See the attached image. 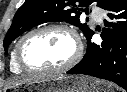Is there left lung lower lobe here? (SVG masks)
<instances>
[{"label":"left lung lower lobe","mask_w":127,"mask_h":92,"mask_svg":"<svg viewBox=\"0 0 127 92\" xmlns=\"http://www.w3.org/2000/svg\"><path fill=\"white\" fill-rule=\"evenodd\" d=\"M107 28L101 34L100 45L92 43V32L88 35L87 52L83 59L68 74H86L110 80L127 90V0H116L105 8Z\"/></svg>","instance_id":"0a47b994"}]
</instances>
